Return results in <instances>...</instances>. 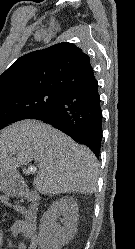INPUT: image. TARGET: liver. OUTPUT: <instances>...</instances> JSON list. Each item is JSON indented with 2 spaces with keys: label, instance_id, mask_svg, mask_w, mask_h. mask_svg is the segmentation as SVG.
I'll return each mask as SVG.
<instances>
[{
  "label": "liver",
  "instance_id": "obj_1",
  "mask_svg": "<svg viewBox=\"0 0 135 249\" xmlns=\"http://www.w3.org/2000/svg\"><path fill=\"white\" fill-rule=\"evenodd\" d=\"M32 160L39 167L33 186L44 195L92 194L97 189L98 160L86 146L36 120L0 131V168L15 172Z\"/></svg>",
  "mask_w": 135,
  "mask_h": 249
}]
</instances>
